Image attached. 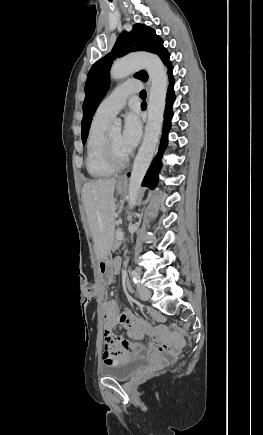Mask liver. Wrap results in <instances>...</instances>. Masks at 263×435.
I'll use <instances>...</instances> for the list:
<instances>
[{
    "mask_svg": "<svg viewBox=\"0 0 263 435\" xmlns=\"http://www.w3.org/2000/svg\"><path fill=\"white\" fill-rule=\"evenodd\" d=\"M115 184V178L102 179L85 183L82 188V201L98 259L109 252L113 242L116 211Z\"/></svg>",
    "mask_w": 263,
    "mask_h": 435,
    "instance_id": "obj_1",
    "label": "liver"
}]
</instances>
